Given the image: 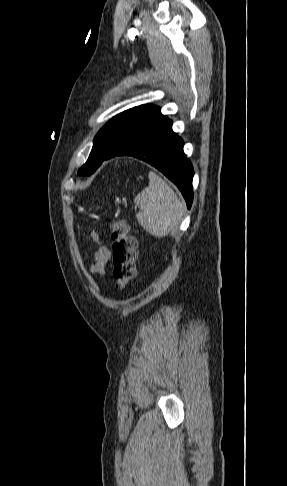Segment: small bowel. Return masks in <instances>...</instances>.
Listing matches in <instances>:
<instances>
[{"instance_id":"small-bowel-1","label":"small bowel","mask_w":287,"mask_h":486,"mask_svg":"<svg viewBox=\"0 0 287 486\" xmlns=\"http://www.w3.org/2000/svg\"><path fill=\"white\" fill-rule=\"evenodd\" d=\"M91 237L98 244V248L94 252V260L90 271L93 274L104 275L111 259V251L107 246L101 244L99 234L96 231L91 232Z\"/></svg>"}]
</instances>
